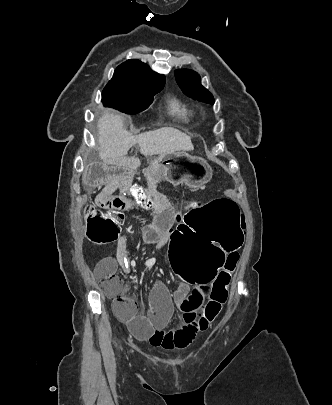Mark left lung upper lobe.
Instances as JSON below:
<instances>
[{"mask_svg":"<svg viewBox=\"0 0 332 405\" xmlns=\"http://www.w3.org/2000/svg\"><path fill=\"white\" fill-rule=\"evenodd\" d=\"M175 77L181 90L195 100L214 104L212 94L201 85L200 76L190 70H176Z\"/></svg>","mask_w":332,"mask_h":405,"instance_id":"obj_1","label":"left lung upper lobe"}]
</instances>
